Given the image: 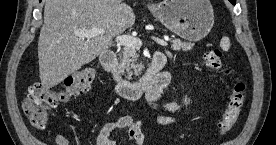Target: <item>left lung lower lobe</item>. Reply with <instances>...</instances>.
I'll return each instance as SVG.
<instances>
[{
    "label": "left lung lower lobe",
    "mask_w": 276,
    "mask_h": 145,
    "mask_svg": "<svg viewBox=\"0 0 276 145\" xmlns=\"http://www.w3.org/2000/svg\"><path fill=\"white\" fill-rule=\"evenodd\" d=\"M233 5H235L236 0H229Z\"/></svg>",
    "instance_id": "0a47b994"
}]
</instances>
